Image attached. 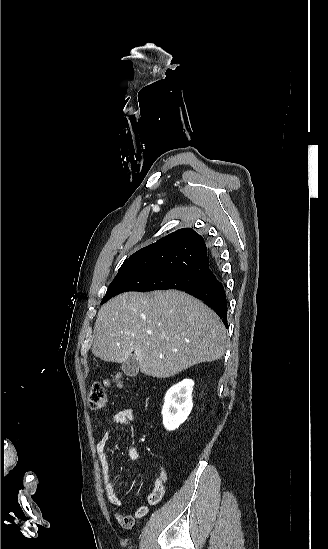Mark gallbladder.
<instances>
[{
	"mask_svg": "<svg viewBox=\"0 0 328 549\" xmlns=\"http://www.w3.org/2000/svg\"><path fill=\"white\" fill-rule=\"evenodd\" d=\"M121 369L125 375H128V377H136L139 373V365L138 361L135 357V355H130L129 359L125 361V363H122Z\"/></svg>",
	"mask_w": 328,
	"mask_h": 549,
	"instance_id": "gallbladder-1",
	"label": "gallbladder"
}]
</instances>
